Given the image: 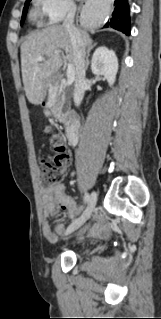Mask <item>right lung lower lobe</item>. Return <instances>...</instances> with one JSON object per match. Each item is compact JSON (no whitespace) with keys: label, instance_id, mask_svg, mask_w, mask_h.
<instances>
[{"label":"right lung lower lobe","instance_id":"98d812e1","mask_svg":"<svg viewBox=\"0 0 161 319\" xmlns=\"http://www.w3.org/2000/svg\"><path fill=\"white\" fill-rule=\"evenodd\" d=\"M128 0H114V11L105 27H112L126 35L130 34V15Z\"/></svg>","mask_w":161,"mask_h":319}]
</instances>
